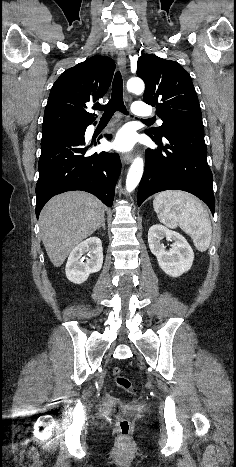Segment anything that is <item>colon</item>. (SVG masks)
<instances>
[{
    "label": "colon",
    "mask_w": 236,
    "mask_h": 467,
    "mask_svg": "<svg viewBox=\"0 0 236 467\" xmlns=\"http://www.w3.org/2000/svg\"><path fill=\"white\" fill-rule=\"evenodd\" d=\"M112 376L114 378L115 383L120 388L133 394L137 393V389L133 386V384L128 378L122 375V370L119 367L113 368ZM111 413L116 420L121 440L125 443L129 442L132 429L131 423L129 422V420L119 416V409L117 407H114L111 410Z\"/></svg>",
    "instance_id": "1"
}]
</instances>
